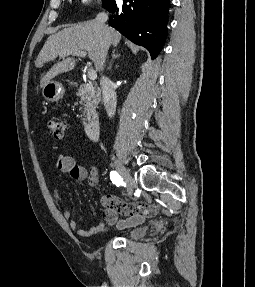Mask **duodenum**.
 <instances>
[{
	"instance_id": "1",
	"label": "duodenum",
	"mask_w": 255,
	"mask_h": 287,
	"mask_svg": "<svg viewBox=\"0 0 255 287\" xmlns=\"http://www.w3.org/2000/svg\"><path fill=\"white\" fill-rule=\"evenodd\" d=\"M100 133V122L98 119H92L86 127V134L91 141L98 139Z\"/></svg>"
}]
</instances>
